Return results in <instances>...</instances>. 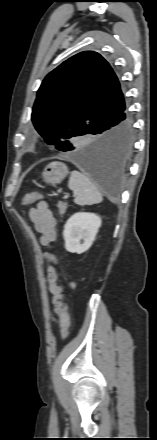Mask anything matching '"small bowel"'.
Instances as JSON below:
<instances>
[{
    "label": "small bowel",
    "mask_w": 157,
    "mask_h": 440,
    "mask_svg": "<svg viewBox=\"0 0 157 440\" xmlns=\"http://www.w3.org/2000/svg\"><path fill=\"white\" fill-rule=\"evenodd\" d=\"M29 218L37 232L40 234V242L44 246H50L52 242L56 240V219L52 211L48 208L47 203L40 202L36 207H33L28 212ZM45 257L51 260L53 263L57 262L54 255L45 253ZM74 286V284H71ZM48 289L53 294V304H58L62 298V287L58 284L55 277V268L53 266L48 267Z\"/></svg>",
    "instance_id": "1"
}]
</instances>
